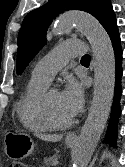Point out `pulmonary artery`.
Segmentation results:
<instances>
[{
    "mask_svg": "<svg viewBox=\"0 0 125 167\" xmlns=\"http://www.w3.org/2000/svg\"><path fill=\"white\" fill-rule=\"evenodd\" d=\"M85 53V43L81 40H68L57 45L45 55L32 70V77L50 83L53 76L62 69L71 58Z\"/></svg>",
    "mask_w": 125,
    "mask_h": 167,
    "instance_id": "e3ab8cb5",
    "label": "pulmonary artery"
}]
</instances>
